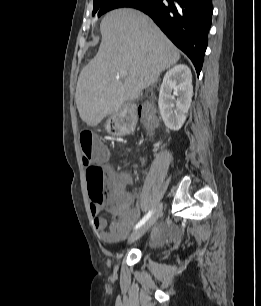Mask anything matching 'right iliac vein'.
Wrapping results in <instances>:
<instances>
[{
  "mask_svg": "<svg viewBox=\"0 0 261 306\" xmlns=\"http://www.w3.org/2000/svg\"><path fill=\"white\" fill-rule=\"evenodd\" d=\"M161 211H162V202L158 204V207L155 210V212L152 214V216L141 227H139L135 232H133L129 236L128 243H132L138 240L140 237H142L159 218Z\"/></svg>",
  "mask_w": 261,
  "mask_h": 306,
  "instance_id": "obj_1",
  "label": "right iliac vein"
}]
</instances>
